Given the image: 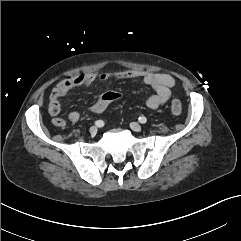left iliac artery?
Returning <instances> with one entry per match:
<instances>
[{"label": "left iliac artery", "instance_id": "obj_1", "mask_svg": "<svg viewBox=\"0 0 241 241\" xmlns=\"http://www.w3.org/2000/svg\"><path fill=\"white\" fill-rule=\"evenodd\" d=\"M138 120H139V122L142 123V124H145V123L147 122V118L144 117V116L139 117Z\"/></svg>", "mask_w": 241, "mask_h": 241}]
</instances>
